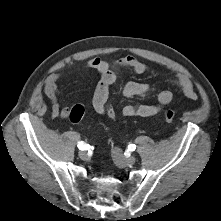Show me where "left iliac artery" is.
I'll return each mask as SVG.
<instances>
[{
  "label": "left iliac artery",
  "mask_w": 221,
  "mask_h": 221,
  "mask_svg": "<svg viewBox=\"0 0 221 221\" xmlns=\"http://www.w3.org/2000/svg\"><path fill=\"white\" fill-rule=\"evenodd\" d=\"M135 149H136V145H134V144H130L128 146V150H130V151H134Z\"/></svg>",
  "instance_id": "44dca946"
}]
</instances>
